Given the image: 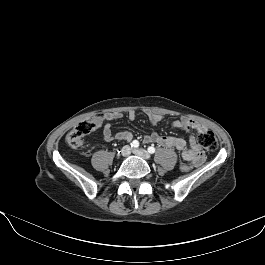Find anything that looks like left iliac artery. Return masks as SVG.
I'll list each match as a JSON object with an SVG mask.
<instances>
[{
    "instance_id": "obj_1",
    "label": "left iliac artery",
    "mask_w": 265,
    "mask_h": 265,
    "mask_svg": "<svg viewBox=\"0 0 265 265\" xmlns=\"http://www.w3.org/2000/svg\"><path fill=\"white\" fill-rule=\"evenodd\" d=\"M147 150H148V152L151 153V154H153V153L155 152V148L152 147V146L148 147Z\"/></svg>"
}]
</instances>
